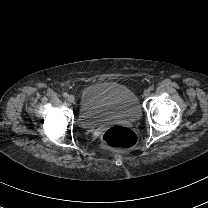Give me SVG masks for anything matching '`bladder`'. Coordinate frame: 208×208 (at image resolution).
I'll return each mask as SVG.
<instances>
[{
    "instance_id": "1",
    "label": "bladder",
    "mask_w": 208,
    "mask_h": 208,
    "mask_svg": "<svg viewBox=\"0 0 208 208\" xmlns=\"http://www.w3.org/2000/svg\"><path fill=\"white\" fill-rule=\"evenodd\" d=\"M82 121L106 124L110 121H137L141 116L139 101L129 88L113 83L88 85L80 105Z\"/></svg>"
}]
</instances>
